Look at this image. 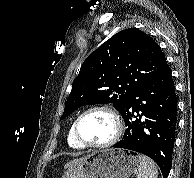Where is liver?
Here are the masks:
<instances>
[{
    "instance_id": "6515ba94",
    "label": "liver",
    "mask_w": 194,
    "mask_h": 178,
    "mask_svg": "<svg viewBox=\"0 0 194 178\" xmlns=\"http://www.w3.org/2000/svg\"><path fill=\"white\" fill-rule=\"evenodd\" d=\"M84 158H80V159H74L72 161H70L69 163H67V165L65 166L66 168H70L78 163H80Z\"/></svg>"
}]
</instances>
